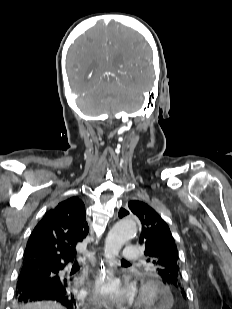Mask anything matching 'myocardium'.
Returning <instances> with one entry per match:
<instances>
[{
  "label": "myocardium",
  "instance_id": "myocardium-1",
  "mask_svg": "<svg viewBox=\"0 0 232 309\" xmlns=\"http://www.w3.org/2000/svg\"><path fill=\"white\" fill-rule=\"evenodd\" d=\"M162 295L159 285L151 280L145 279L139 287L137 298V309H152Z\"/></svg>",
  "mask_w": 232,
  "mask_h": 309
}]
</instances>
